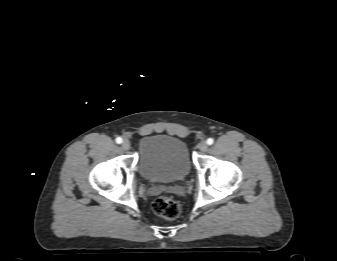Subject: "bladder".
<instances>
[{
    "instance_id": "obj_1",
    "label": "bladder",
    "mask_w": 337,
    "mask_h": 261,
    "mask_svg": "<svg viewBox=\"0 0 337 261\" xmlns=\"http://www.w3.org/2000/svg\"><path fill=\"white\" fill-rule=\"evenodd\" d=\"M139 171L150 182L182 181L190 172L186 144L176 137L164 134L143 137L139 142Z\"/></svg>"
}]
</instances>
